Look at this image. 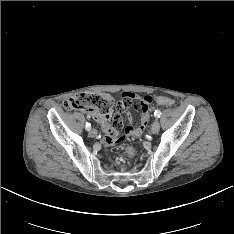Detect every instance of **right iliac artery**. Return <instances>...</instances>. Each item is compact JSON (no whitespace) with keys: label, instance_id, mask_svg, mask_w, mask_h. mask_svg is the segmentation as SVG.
I'll use <instances>...</instances> for the list:
<instances>
[{"label":"right iliac artery","instance_id":"right-iliac-artery-1","mask_svg":"<svg viewBox=\"0 0 234 234\" xmlns=\"http://www.w3.org/2000/svg\"><path fill=\"white\" fill-rule=\"evenodd\" d=\"M85 128H86L87 131H89L91 129L90 123L87 122Z\"/></svg>","mask_w":234,"mask_h":234}]
</instances>
